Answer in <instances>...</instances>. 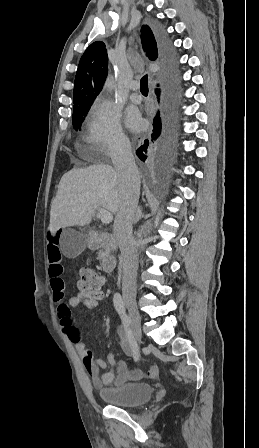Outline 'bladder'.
I'll return each instance as SVG.
<instances>
[{"mask_svg": "<svg viewBox=\"0 0 259 448\" xmlns=\"http://www.w3.org/2000/svg\"><path fill=\"white\" fill-rule=\"evenodd\" d=\"M152 394L153 387L147 383H126L99 392L100 398L107 404L122 407H135L144 404Z\"/></svg>", "mask_w": 259, "mask_h": 448, "instance_id": "obj_1", "label": "bladder"}]
</instances>
